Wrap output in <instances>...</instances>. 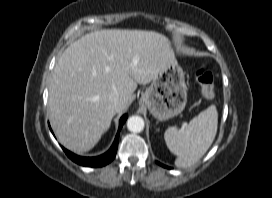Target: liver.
I'll list each match as a JSON object with an SVG mask.
<instances>
[{
	"instance_id": "liver-1",
	"label": "liver",
	"mask_w": 272,
	"mask_h": 198,
	"mask_svg": "<svg viewBox=\"0 0 272 198\" xmlns=\"http://www.w3.org/2000/svg\"><path fill=\"white\" fill-rule=\"evenodd\" d=\"M176 62L168 38L155 31L103 29L69 45L54 67L49 117L59 142L82 153L92 149L124 111L138 84L153 81ZM114 90L120 101L109 95Z\"/></svg>"
}]
</instances>
